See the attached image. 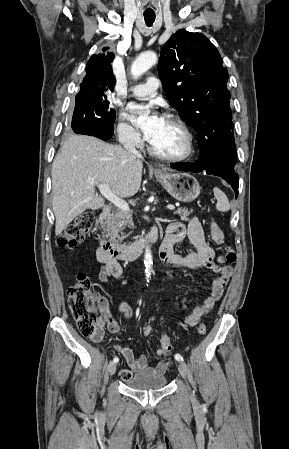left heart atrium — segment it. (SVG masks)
<instances>
[{"instance_id":"1","label":"left heart atrium","mask_w":289,"mask_h":449,"mask_svg":"<svg viewBox=\"0 0 289 449\" xmlns=\"http://www.w3.org/2000/svg\"><path fill=\"white\" fill-rule=\"evenodd\" d=\"M150 106L131 105L130 106V119L136 124L143 132L147 141L155 136L156 132L162 125L163 119L157 112L151 110ZM151 110V114L147 118H142V115Z\"/></svg>"}]
</instances>
